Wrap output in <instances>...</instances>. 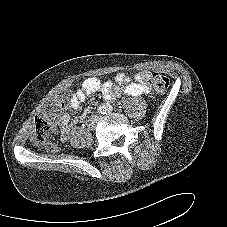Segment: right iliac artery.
Segmentation results:
<instances>
[{"label": "right iliac artery", "mask_w": 227, "mask_h": 227, "mask_svg": "<svg viewBox=\"0 0 227 227\" xmlns=\"http://www.w3.org/2000/svg\"><path fill=\"white\" fill-rule=\"evenodd\" d=\"M97 113L106 114V107L105 106H99L98 109H97Z\"/></svg>", "instance_id": "1"}]
</instances>
